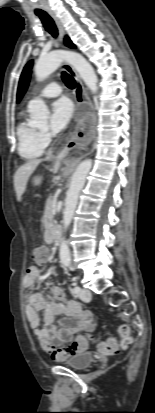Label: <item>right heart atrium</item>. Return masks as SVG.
Returning <instances> with one entry per match:
<instances>
[{
  "instance_id": "d8ad5b80",
  "label": "right heart atrium",
  "mask_w": 155,
  "mask_h": 413,
  "mask_svg": "<svg viewBox=\"0 0 155 413\" xmlns=\"http://www.w3.org/2000/svg\"><path fill=\"white\" fill-rule=\"evenodd\" d=\"M51 134L47 131H41L40 132V140L42 142V144L44 145V147H46L47 145H49L51 143Z\"/></svg>"
}]
</instances>
